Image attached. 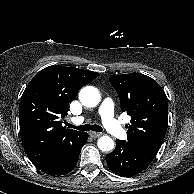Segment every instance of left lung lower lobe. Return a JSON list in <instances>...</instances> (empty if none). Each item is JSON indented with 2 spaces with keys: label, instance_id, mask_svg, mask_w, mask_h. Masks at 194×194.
Returning a JSON list of instances; mask_svg holds the SVG:
<instances>
[{
  "label": "left lung lower lobe",
  "instance_id": "0a47b994",
  "mask_svg": "<svg viewBox=\"0 0 194 194\" xmlns=\"http://www.w3.org/2000/svg\"><path fill=\"white\" fill-rule=\"evenodd\" d=\"M156 155L133 142L117 140L116 148L106 156V162L115 174L132 177L146 169Z\"/></svg>",
  "mask_w": 194,
  "mask_h": 194
}]
</instances>
